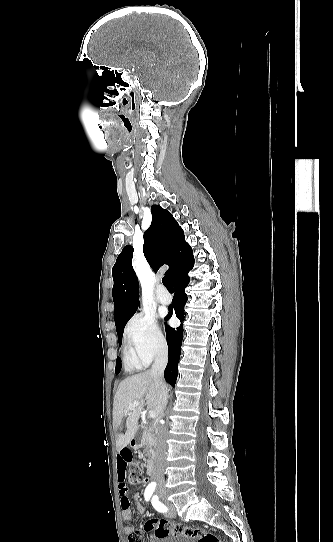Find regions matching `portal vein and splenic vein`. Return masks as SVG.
Here are the masks:
<instances>
[{"mask_svg": "<svg viewBox=\"0 0 333 542\" xmlns=\"http://www.w3.org/2000/svg\"><path fill=\"white\" fill-rule=\"evenodd\" d=\"M137 406H140V402H133L131 406H129L128 410L125 412V416H127L129 410H134V408H137ZM149 418H156V412H148Z\"/></svg>", "mask_w": 333, "mask_h": 542, "instance_id": "portal-vein-and-splenic-vein-1", "label": "portal vein and splenic vein"}]
</instances>
